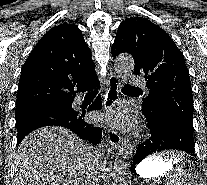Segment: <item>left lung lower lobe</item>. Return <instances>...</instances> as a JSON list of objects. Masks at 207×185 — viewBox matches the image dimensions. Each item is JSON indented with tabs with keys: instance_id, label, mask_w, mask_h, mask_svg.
<instances>
[{
	"instance_id": "obj_1",
	"label": "left lung lower lobe",
	"mask_w": 207,
	"mask_h": 185,
	"mask_svg": "<svg viewBox=\"0 0 207 185\" xmlns=\"http://www.w3.org/2000/svg\"><path fill=\"white\" fill-rule=\"evenodd\" d=\"M143 115L150 129V137L139 144L133 166L150 154L169 149L181 150L195 156L193 130L178 117L169 113L157 117L147 112Z\"/></svg>"
}]
</instances>
